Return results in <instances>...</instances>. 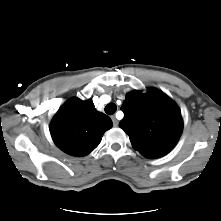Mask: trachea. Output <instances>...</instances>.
Here are the masks:
<instances>
[{
	"instance_id": "3493384b",
	"label": "trachea",
	"mask_w": 221,
	"mask_h": 221,
	"mask_svg": "<svg viewBox=\"0 0 221 221\" xmlns=\"http://www.w3.org/2000/svg\"><path fill=\"white\" fill-rule=\"evenodd\" d=\"M117 110V106L114 103H109L106 107H105V112L108 115H113Z\"/></svg>"
}]
</instances>
